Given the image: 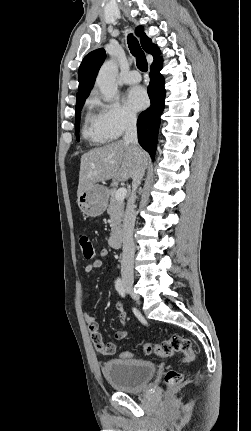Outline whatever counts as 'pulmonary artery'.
<instances>
[{
	"label": "pulmonary artery",
	"instance_id": "pulmonary-artery-1",
	"mask_svg": "<svg viewBox=\"0 0 251 431\" xmlns=\"http://www.w3.org/2000/svg\"><path fill=\"white\" fill-rule=\"evenodd\" d=\"M140 80H141V76L136 70L129 71L123 77V81L126 84H136L140 82Z\"/></svg>",
	"mask_w": 251,
	"mask_h": 431
}]
</instances>
